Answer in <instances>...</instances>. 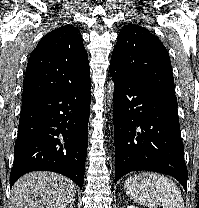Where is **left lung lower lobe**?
<instances>
[{"instance_id": "0a47b994", "label": "left lung lower lobe", "mask_w": 199, "mask_h": 208, "mask_svg": "<svg viewBox=\"0 0 199 208\" xmlns=\"http://www.w3.org/2000/svg\"><path fill=\"white\" fill-rule=\"evenodd\" d=\"M114 89L115 183L131 171L176 178L187 191V167L175 93L145 83L110 64Z\"/></svg>"}]
</instances>
